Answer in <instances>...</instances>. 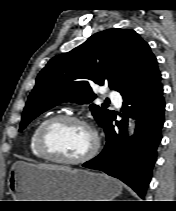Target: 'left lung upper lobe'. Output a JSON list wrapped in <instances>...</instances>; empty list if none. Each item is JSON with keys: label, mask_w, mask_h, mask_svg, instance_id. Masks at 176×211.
<instances>
[{"label": "left lung upper lobe", "mask_w": 176, "mask_h": 211, "mask_svg": "<svg viewBox=\"0 0 176 211\" xmlns=\"http://www.w3.org/2000/svg\"><path fill=\"white\" fill-rule=\"evenodd\" d=\"M160 74L149 45L134 30L113 28L98 32L72 51L52 58L38 74L19 131L60 102L90 103L96 98L92 83H108L124 96ZM90 110L105 130L112 119L111 112L95 104L90 105Z\"/></svg>", "instance_id": "obj_1"}]
</instances>
